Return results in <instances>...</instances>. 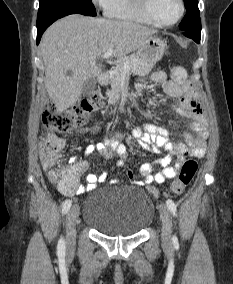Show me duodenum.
Returning <instances> with one entry per match:
<instances>
[{
  "label": "duodenum",
  "mask_w": 233,
  "mask_h": 284,
  "mask_svg": "<svg viewBox=\"0 0 233 284\" xmlns=\"http://www.w3.org/2000/svg\"><path fill=\"white\" fill-rule=\"evenodd\" d=\"M99 82L102 84V85H106L109 81V73L108 72H102L99 77Z\"/></svg>",
  "instance_id": "obj_1"
}]
</instances>
